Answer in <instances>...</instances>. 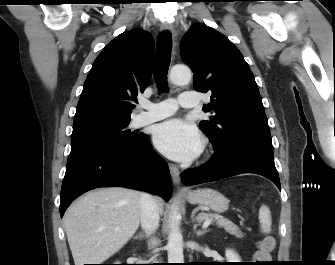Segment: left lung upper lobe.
<instances>
[{
	"mask_svg": "<svg viewBox=\"0 0 335 265\" xmlns=\"http://www.w3.org/2000/svg\"><path fill=\"white\" fill-rule=\"evenodd\" d=\"M181 57L194 73L195 90L211 93L203 110L214 115L200 128L214 149L234 142L273 149L255 78L237 47L215 29L195 24L183 38Z\"/></svg>",
	"mask_w": 335,
	"mask_h": 265,
	"instance_id": "obj_1",
	"label": "left lung upper lobe"
}]
</instances>
